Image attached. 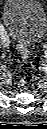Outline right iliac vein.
<instances>
[{
  "label": "right iliac vein",
  "instance_id": "1",
  "mask_svg": "<svg viewBox=\"0 0 47 129\" xmlns=\"http://www.w3.org/2000/svg\"><path fill=\"white\" fill-rule=\"evenodd\" d=\"M2 45L3 46H8L9 45V40L5 41V42H2Z\"/></svg>",
  "mask_w": 47,
  "mask_h": 129
}]
</instances>
